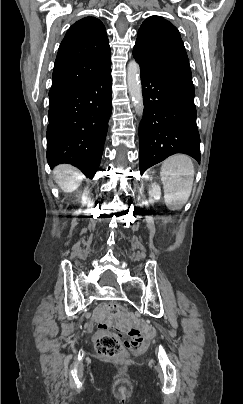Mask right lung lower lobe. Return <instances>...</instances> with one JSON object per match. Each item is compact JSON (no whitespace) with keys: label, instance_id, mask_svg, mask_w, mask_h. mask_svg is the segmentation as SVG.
Returning <instances> with one entry per match:
<instances>
[{"label":"right lung lower lobe","instance_id":"98d812e1","mask_svg":"<svg viewBox=\"0 0 243 404\" xmlns=\"http://www.w3.org/2000/svg\"><path fill=\"white\" fill-rule=\"evenodd\" d=\"M111 69L80 86L49 95L47 161L69 163L92 179L98 170L112 111Z\"/></svg>","mask_w":243,"mask_h":404}]
</instances>
